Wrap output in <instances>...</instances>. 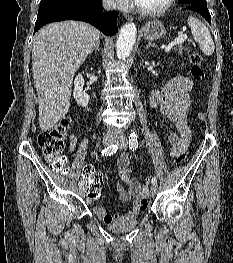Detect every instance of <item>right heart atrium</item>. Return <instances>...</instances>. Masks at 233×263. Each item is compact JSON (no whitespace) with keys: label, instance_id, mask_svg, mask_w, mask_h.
Instances as JSON below:
<instances>
[{"label":"right heart atrium","instance_id":"obj_1","mask_svg":"<svg viewBox=\"0 0 233 263\" xmlns=\"http://www.w3.org/2000/svg\"><path fill=\"white\" fill-rule=\"evenodd\" d=\"M103 1L107 6L115 9H123L127 5V0H103Z\"/></svg>","mask_w":233,"mask_h":263}]
</instances>
